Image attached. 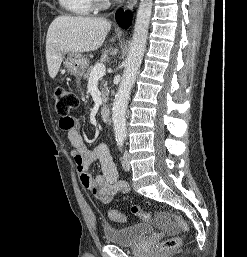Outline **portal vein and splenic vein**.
I'll use <instances>...</instances> for the list:
<instances>
[{
  "label": "portal vein and splenic vein",
  "instance_id": "obj_1",
  "mask_svg": "<svg viewBox=\"0 0 247 257\" xmlns=\"http://www.w3.org/2000/svg\"><path fill=\"white\" fill-rule=\"evenodd\" d=\"M106 68L102 63H97L92 72L89 81L98 80L105 75Z\"/></svg>",
  "mask_w": 247,
  "mask_h": 257
}]
</instances>
